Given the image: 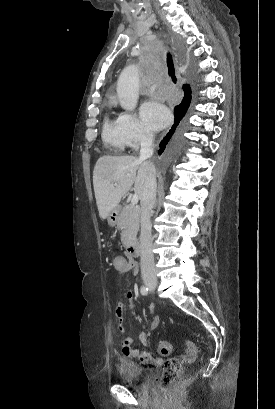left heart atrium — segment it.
Returning <instances> with one entry per match:
<instances>
[{
	"label": "left heart atrium",
	"mask_w": 275,
	"mask_h": 409,
	"mask_svg": "<svg viewBox=\"0 0 275 409\" xmlns=\"http://www.w3.org/2000/svg\"><path fill=\"white\" fill-rule=\"evenodd\" d=\"M141 112L151 128L156 131L166 127L171 121V113L162 102L149 101L142 106Z\"/></svg>",
	"instance_id": "1"
}]
</instances>
